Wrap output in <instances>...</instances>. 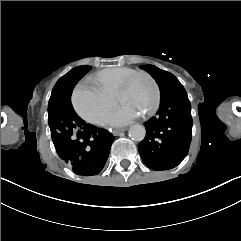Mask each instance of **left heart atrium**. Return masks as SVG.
<instances>
[{
    "label": "left heart atrium",
    "mask_w": 241,
    "mask_h": 241,
    "mask_svg": "<svg viewBox=\"0 0 241 241\" xmlns=\"http://www.w3.org/2000/svg\"><path fill=\"white\" fill-rule=\"evenodd\" d=\"M135 117L136 114L132 111L116 110L109 115L107 123L113 126L125 125L131 122Z\"/></svg>",
    "instance_id": "obj_1"
}]
</instances>
